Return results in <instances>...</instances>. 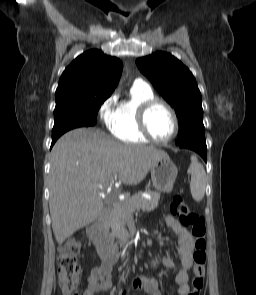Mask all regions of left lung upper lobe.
I'll list each match as a JSON object with an SVG mask.
<instances>
[{"mask_svg": "<svg viewBox=\"0 0 256 295\" xmlns=\"http://www.w3.org/2000/svg\"><path fill=\"white\" fill-rule=\"evenodd\" d=\"M140 71L175 109L179 121L177 144L205 141L201 93L192 73L166 52L138 58Z\"/></svg>", "mask_w": 256, "mask_h": 295, "instance_id": "obj_1", "label": "left lung upper lobe"}]
</instances>
